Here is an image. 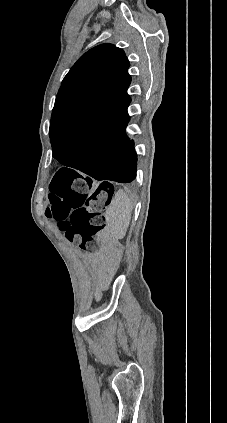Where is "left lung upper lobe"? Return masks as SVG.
Segmentation results:
<instances>
[{"mask_svg": "<svg viewBox=\"0 0 227 423\" xmlns=\"http://www.w3.org/2000/svg\"><path fill=\"white\" fill-rule=\"evenodd\" d=\"M122 49L101 44L85 53L62 81L52 111L51 143L82 130L108 114L126 112L131 76Z\"/></svg>", "mask_w": 227, "mask_h": 423, "instance_id": "left-lung-upper-lobe-1", "label": "left lung upper lobe"}]
</instances>
